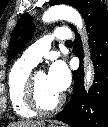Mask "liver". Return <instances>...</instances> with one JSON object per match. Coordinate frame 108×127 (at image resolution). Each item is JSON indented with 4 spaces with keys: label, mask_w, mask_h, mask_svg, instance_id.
Returning <instances> with one entry per match:
<instances>
[{
    "label": "liver",
    "mask_w": 108,
    "mask_h": 127,
    "mask_svg": "<svg viewBox=\"0 0 108 127\" xmlns=\"http://www.w3.org/2000/svg\"><path fill=\"white\" fill-rule=\"evenodd\" d=\"M8 127H45V122L26 120V121L10 123Z\"/></svg>",
    "instance_id": "liver-1"
}]
</instances>
